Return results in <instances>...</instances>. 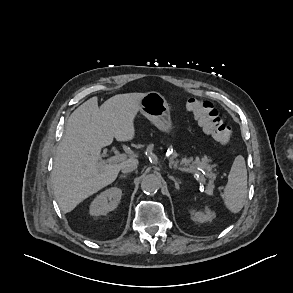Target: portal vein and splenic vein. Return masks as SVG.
<instances>
[{"label": "portal vein and splenic vein", "instance_id": "obj_1", "mask_svg": "<svg viewBox=\"0 0 293 293\" xmlns=\"http://www.w3.org/2000/svg\"><path fill=\"white\" fill-rule=\"evenodd\" d=\"M126 154H116L110 158L107 159L108 163H118L121 161H124L126 159ZM178 170L186 173H192L194 174L203 184H205L206 180L204 177L199 176L198 171L190 169V168H184V167H177Z\"/></svg>", "mask_w": 293, "mask_h": 293}]
</instances>
